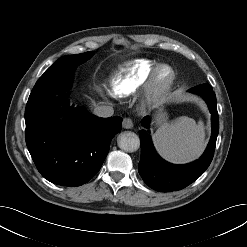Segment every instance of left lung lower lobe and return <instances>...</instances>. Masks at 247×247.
<instances>
[{
    "label": "left lung lower lobe",
    "mask_w": 247,
    "mask_h": 247,
    "mask_svg": "<svg viewBox=\"0 0 247 247\" xmlns=\"http://www.w3.org/2000/svg\"><path fill=\"white\" fill-rule=\"evenodd\" d=\"M189 91L201 95L212 114L211 139L200 159L186 165L168 163L156 153L148 132L145 130L139 131L141 143V158L138 165L139 174L149 187L159 192H171L187 187L204 173L214 155L219 132L216 95L209 84L195 86ZM141 124L143 127L149 128V117H144Z\"/></svg>",
    "instance_id": "0a47b994"
}]
</instances>
